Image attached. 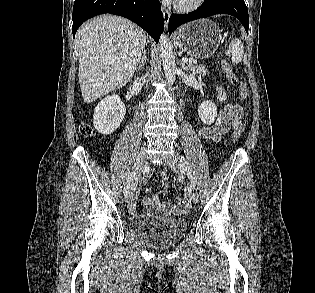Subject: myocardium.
<instances>
[{"label": "myocardium", "mask_w": 315, "mask_h": 293, "mask_svg": "<svg viewBox=\"0 0 315 293\" xmlns=\"http://www.w3.org/2000/svg\"><path fill=\"white\" fill-rule=\"evenodd\" d=\"M204 2L205 0H193L190 3L183 4L178 1H175L174 6L177 10L188 13V12H192L199 9L203 5Z\"/></svg>", "instance_id": "f54148a6"}]
</instances>
